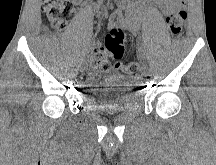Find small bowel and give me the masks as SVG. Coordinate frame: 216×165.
I'll return each mask as SVG.
<instances>
[{"label":"small bowel","mask_w":216,"mask_h":165,"mask_svg":"<svg viewBox=\"0 0 216 165\" xmlns=\"http://www.w3.org/2000/svg\"><path fill=\"white\" fill-rule=\"evenodd\" d=\"M126 1L127 0H120V4L118 5L116 10V17L115 19H112L110 21L109 25L111 28L129 26V28L133 33H137L140 29L138 23V20L140 19V15H141L140 7L134 6L132 15L130 17H126L124 15V5H123ZM183 1L184 0H155L157 6L164 14H168L172 10L173 6L179 5ZM102 51L103 48H101V46H98L96 50L93 52V54L95 52H102Z\"/></svg>","instance_id":"obj_1"}]
</instances>
